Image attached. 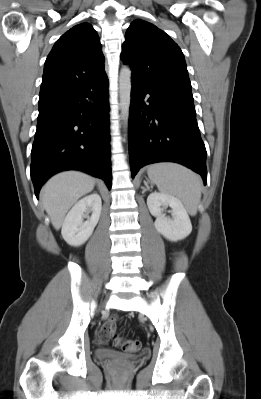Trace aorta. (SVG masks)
<instances>
[{
	"instance_id": "aorta-1",
	"label": "aorta",
	"mask_w": 261,
	"mask_h": 399,
	"mask_svg": "<svg viewBox=\"0 0 261 399\" xmlns=\"http://www.w3.org/2000/svg\"><path fill=\"white\" fill-rule=\"evenodd\" d=\"M119 94L121 118L124 121V125L127 126L131 102V70L127 66L122 67L120 71Z\"/></svg>"
}]
</instances>
